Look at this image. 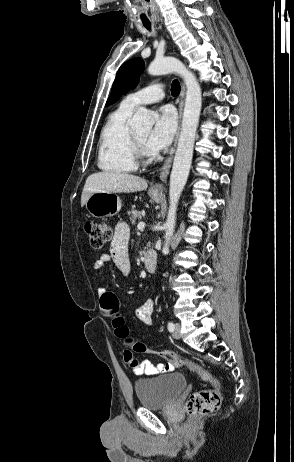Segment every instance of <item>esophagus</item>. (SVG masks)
Segmentation results:
<instances>
[{
    "label": "esophagus",
    "mask_w": 294,
    "mask_h": 462,
    "mask_svg": "<svg viewBox=\"0 0 294 462\" xmlns=\"http://www.w3.org/2000/svg\"><path fill=\"white\" fill-rule=\"evenodd\" d=\"M184 100H185V85L183 84L181 92H180V96H179V129H178V132H177V135H176V138H175L174 147L170 151L169 156L167 157L164 165L161 168V171H160V174H159L161 182L156 183V184H154L152 186L151 189L153 191L162 192L163 189H164L163 183L166 182L167 176L169 174V170H170L172 159H173V154L175 152L177 141H178V136H179V131H180V121H181V117H182V110H183Z\"/></svg>",
    "instance_id": "34e87169"
}]
</instances>
